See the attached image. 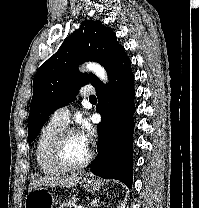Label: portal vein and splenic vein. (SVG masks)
<instances>
[{"label":"portal vein and splenic vein","instance_id":"portal-vein-and-splenic-vein-1","mask_svg":"<svg viewBox=\"0 0 199 208\" xmlns=\"http://www.w3.org/2000/svg\"><path fill=\"white\" fill-rule=\"evenodd\" d=\"M75 208H84V206L79 205V206H75Z\"/></svg>","mask_w":199,"mask_h":208}]
</instances>
